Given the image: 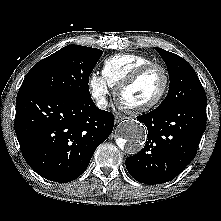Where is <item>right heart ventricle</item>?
I'll list each match as a JSON object with an SVG mask.
<instances>
[{
    "instance_id": "obj_1",
    "label": "right heart ventricle",
    "mask_w": 221,
    "mask_h": 221,
    "mask_svg": "<svg viewBox=\"0 0 221 221\" xmlns=\"http://www.w3.org/2000/svg\"><path fill=\"white\" fill-rule=\"evenodd\" d=\"M154 61L139 54H117L105 60L102 75L110 87H117L139 67Z\"/></svg>"
}]
</instances>
